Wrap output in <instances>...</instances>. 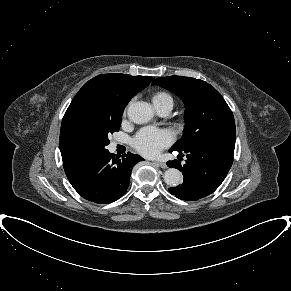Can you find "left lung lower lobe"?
Masks as SVG:
<instances>
[{
  "label": "left lung lower lobe",
  "instance_id": "left-lung-lower-lobe-1",
  "mask_svg": "<svg viewBox=\"0 0 291 291\" xmlns=\"http://www.w3.org/2000/svg\"><path fill=\"white\" fill-rule=\"evenodd\" d=\"M235 141H211L178 151L187 157L181 165L178 160L168 161V167L182 171L181 185L169 188V192L182 200H198L214 192L225 179L233 163Z\"/></svg>",
  "mask_w": 291,
  "mask_h": 291
}]
</instances>
